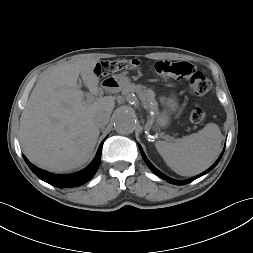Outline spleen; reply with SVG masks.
I'll use <instances>...</instances> for the list:
<instances>
[{"instance_id":"spleen-1","label":"spleen","mask_w":253,"mask_h":253,"mask_svg":"<svg viewBox=\"0 0 253 253\" xmlns=\"http://www.w3.org/2000/svg\"><path fill=\"white\" fill-rule=\"evenodd\" d=\"M219 126L208 123L197 133L175 142L157 141L155 147L166 164L181 176H194L206 170L221 150Z\"/></svg>"}]
</instances>
